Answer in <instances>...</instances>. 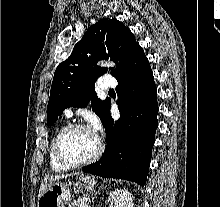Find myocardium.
I'll use <instances>...</instances> for the list:
<instances>
[{"mask_svg":"<svg viewBox=\"0 0 220 207\" xmlns=\"http://www.w3.org/2000/svg\"><path fill=\"white\" fill-rule=\"evenodd\" d=\"M77 129H84V130H90L86 125L82 124V123H71L68 124L66 126H64L56 135L55 140H54V155L55 158L57 160V162L59 164H61L62 166L66 167V168H79V167H83L86 165H89L93 162H95L96 160L99 159V157L102 155L103 151H104V143L103 141L98 137H97V149L94 152V154L89 157L88 159L84 160V161H80V162H69L67 161L61 153V141L63 139V137L73 131V130H77ZM91 131V130H90Z\"/></svg>","mask_w":220,"mask_h":207,"instance_id":"myocardium-1","label":"myocardium"}]
</instances>
